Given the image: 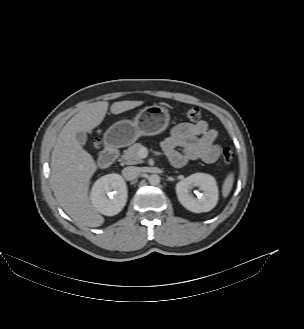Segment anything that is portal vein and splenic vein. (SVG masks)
I'll return each instance as SVG.
<instances>
[{
    "label": "portal vein and splenic vein",
    "instance_id": "1",
    "mask_svg": "<svg viewBox=\"0 0 304 329\" xmlns=\"http://www.w3.org/2000/svg\"><path fill=\"white\" fill-rule=\"evenodd\" d=\"M147 155H148V150H147L145 147L141 148V149L138 151V156H139L140 158H146Z\"/></svg>",
    "mask_w": 304,
    "mask_h": 329
}]
</instances>
